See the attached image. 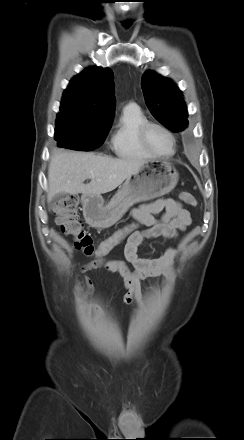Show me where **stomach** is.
Returning <instances> with one entry per match:
<instances>
[{
    "label": "stomach",
    "instance_id": "obj_1",
    "mask_svg": "<svg viewBox=\"0 0 244 440\" xmlns=\"http://www.w3.org/2000/svg\"><path fill=\"white\" fill-rule=\"evenodd\" d=\"M179 173L168 161H147L131 174L104 205L99 195L82 196L86 222L96 228H109L119 221L130 207L161 197L171 192L177 185Z\"/></svg>",
    "mask_w": 244,
    "mask_h": 440
}]
</instances>
